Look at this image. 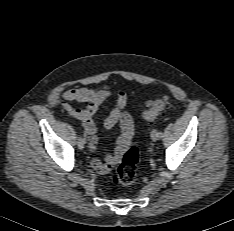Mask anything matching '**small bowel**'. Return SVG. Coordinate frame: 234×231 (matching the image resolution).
I'll return each instance as SVG.
<instances>
[{
	"instance_id": "1",
	"label": "small bowel",
	"mask_w": 234,
	"mask_h": 231,
	"mask_svg": "<svg viewBox=\"0 0 234 231\" xmlns=\"http://www.w3.org/2000/svg\"><path fill=\"white\" fill-rule=\"evenodd\" d=\"M114 96L116 103L110 113L104 118V126L113 128L118 122L121 123V134L119 135L114 153H108L103 160L93 158L92 168L100 174H106L120 160L122 155L130 145L133 137V127L130 119L124 115L123 109L127 104L126 94L119 89L102 87L99 89H89L85 87L65 90L62 93V107L73 118L80 121L83 125L88 139V146L91 152L96 150L98 139L95 135L96 126L93 116L100 105L109 97ZM70 102L86 103L83 109L74 108Z\"/></svg>"
}]
</instances>
